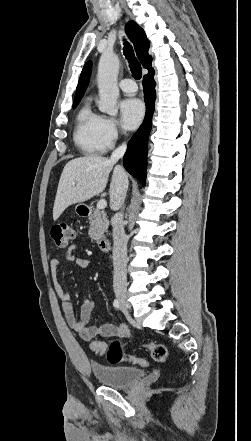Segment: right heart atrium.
I'll return each instance as SVG.
<instances>
[{
    "label": "right heart atrium",
    "instance_id": "obj_1",
    "mask_svg": "<svg viewBox=\"0 0 251 441\" xmlns=\"http://www.w3.org/2000/svg\"><path fill=\"white\" fill-rule=\"evenodd\" d=\"M100 132L102 138L108 147L112 146L114 142L118 139L120 134V129L117 122L110 117H102L100 124Z\"/></svg>",
    "mask_w": 251,
    "mask_h": 441
}]
</instances>
